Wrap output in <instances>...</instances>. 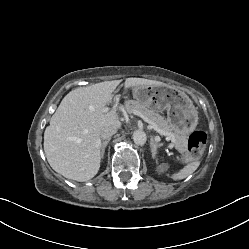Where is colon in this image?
<instances>
[{
    "label": "colon",
    "instance_id": "colon-1",
    "mask_svg": "<svg viewBox=\"0 0 249 249\" xmlns=\"http://www.w3.org/2000/svg\"><path fill=\"white\" fill-rule=\"evenodd\" d=\"M207 142V136L202 131L194 132L188 140V153L191 156H199L205 149ZM179 160L182 162H186L188 157L185 154L178 153Z\"/></svg>",
    "mask_w": 249,
    "mask_h": 249
}]
</instances>
